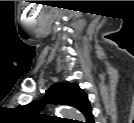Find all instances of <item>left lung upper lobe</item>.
<instances>
[{"instance_id": "5c2ea615", "label": "left lung upper lobe", "mask_w": 134, "mask_h": 123, "mask_svg": "<svg viewBox=\"0 0 134 123\" xmlns=\"http://www.w3.org/2000/svg\"><path fill=\"white\" fill-rule=\"evenodd\" d=\"M45 101L73 106L83 113L88 123L93 120L87 94L80 89L77 83H57L48 90L44 100L33 101L24 106V109L29 113L36 114L43 108Z\"/></svg>"}]
</instances>
